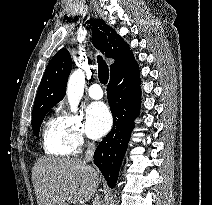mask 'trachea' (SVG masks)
Returning a JSON list of instances; mask_svg holds the SVG:
<instances>
[{
  "label": "trachea",
  "instance_id": "1",
  "mask_svg": "<svg viewBox=\"0 0 212 205\" xmlns=\"http://www.w3.org/2000/svg\"><path fill=\"white\" fill-rule=\"evenodd\" d=\"M98 77L102 84H107L109 79V69L101 56H98Z\"/></svg>",
  "mask_w": 212,
  "mask_h": 205
}]
</instances>
